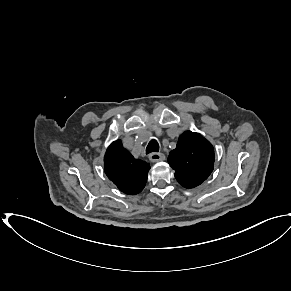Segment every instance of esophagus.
I'll return each mask as SVG.
<instances>
[{"label":"esophagus","instance_id":"esophagus-1","mask_svg":"<svg viewBox=\"0 0 291 291\" xmlns=\"http://www.w3.org/2000/svg\"><path fill=\"white\" fill-rule=\"evenodd\" d=\"M149 159L151 162H159L165 160V155L163 153H151L149 155Z\"/></svg>","mask_w":291,"mask_h":291}]
</instances>
